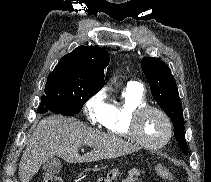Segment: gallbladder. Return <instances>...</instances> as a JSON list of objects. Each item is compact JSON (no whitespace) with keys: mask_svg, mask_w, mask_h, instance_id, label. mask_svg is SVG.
I'll return each instance as SVG.
<instances>
[{"mask_svg":"<svg viewBox=\"0 0 211 182\" xmlns=\"http://www.w3.org/2000/svg\"><path fill=\"white\" fill-rule=\"evenodd\" d=\"M43 169L49 174H57L62 169V164L59 157H49L43 162Z\"/></svg>","mask_w":211,"mask_h":182,"instance_id":"gallbladder-1","label":"gallbladder"}]
</instances>
